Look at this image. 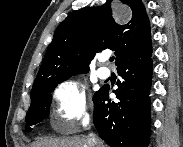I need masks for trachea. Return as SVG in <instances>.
Returning <instances> with one entry per match:
<instances>
[{
	"instance_id": "1",
	"label": "trachea",
	"mask_w": 183,
	"mask_h": 147,
	"mask_svg": "<svg viewBox=\"0 0 183 147\" xmlns=\"http://www.w3.org/2000/svg\"><path fill=\"white\" fill-rule=\"evenodd\" d=\"M115 57H110V62H113Z\"/></svg>"
}]
</instances>
